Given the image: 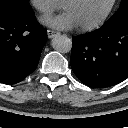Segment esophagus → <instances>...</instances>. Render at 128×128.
Listing matches in <instances>:
<instances>
[{"label":"esophagus","instance_id":"1","mask_svg":"<svg viewBox=\"0 0 128 128\" xmlns=\"http://www.w3.org/2000/svg\"><path fill=\"white\" fill-rule=\"evenodd\" d=\"M57 34H58V33H57L56 31H54V30H50V29L47 30V35H48V38H49V39L53 38V37L56 36Z\"/></svg>","mask_w":128,"mask_h":128}]
</instances>
